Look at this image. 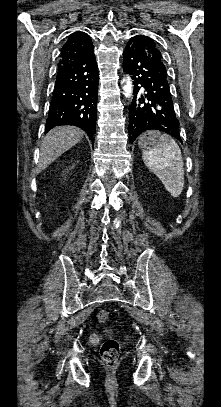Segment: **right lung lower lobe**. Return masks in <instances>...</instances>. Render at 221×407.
<instances>
[{"instance_id": "1", "label": "right lung lower lobe", "mask_w": 221, "mask_h": 407, "mask_svg": "<svg viewBox=\"0 0 221 407\" xmlns=\"http://www.w3.org/2000/svg\"><path fill=\"white\" fill-rule=\"evenodd\" d=\"M98 79L93 44L80 58L58 67L46 133L55 126L74 125L83 129L94 141Z\"/></svg>"}]
</instances>
